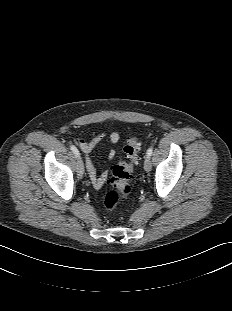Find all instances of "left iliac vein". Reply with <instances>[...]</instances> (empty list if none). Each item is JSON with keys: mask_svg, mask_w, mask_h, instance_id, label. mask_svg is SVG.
Listing matches in <instances>:
<instances>
[{"mask_svg": "<svg viewBox=\"0 0 232 311\" xmlns=\"http://www.w3.org/2000/svg\"><path fill=\"white\" fill-rule=\"evenodd\" d=\"M151 168H152V163H151L150 157L146 156L144 160V169L145 171L149 172Z\"/></svg>", "mask_w": 232, "mask_h": 311, "instance_id": "obj_1", "label": "left iliac vein"}]
</instances>
